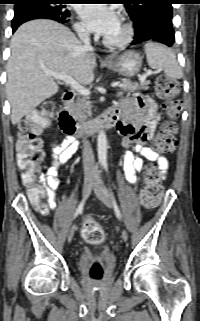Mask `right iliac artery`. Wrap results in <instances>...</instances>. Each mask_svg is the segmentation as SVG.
<instances>
[{
  "label": "right iliac artery",
  "instance_id": "right-iliac-artery-1",
  "mask_svg": "<svg viewBox=\"0 0 200 321\" xmlns=\"http://www.w3.org/2000/svg\"><path fill=\"white\" fill-rule=\"evenodd\" d=\"M84 204H85V199L79 204L78 208L76 209L74 214V219L78 216V214L82 212Z\"/></svg>",
  "mask_w": 200,
  "mask_h": 321
}]
</instances>
